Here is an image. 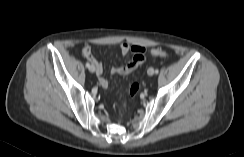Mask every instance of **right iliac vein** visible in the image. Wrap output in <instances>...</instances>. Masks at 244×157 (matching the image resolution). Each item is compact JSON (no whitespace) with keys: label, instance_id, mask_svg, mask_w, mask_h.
Listing matches in <instances>:
<instances>
[{"label":"right iliac vein","instance_id":"1","mask_svg":"<svg viewBox=\"0 0 244 157\" xmlns=\"http://www.w3.org/2000/svg\"><path fill=\"white\" fill-rule=\"evenodd\" d=\"M89 71H90L91 73H94V72H95V68H94L93 65H91V66L89 67Z\"/></svg>","mask_w":244,"mask_h":157}]
</instances>
